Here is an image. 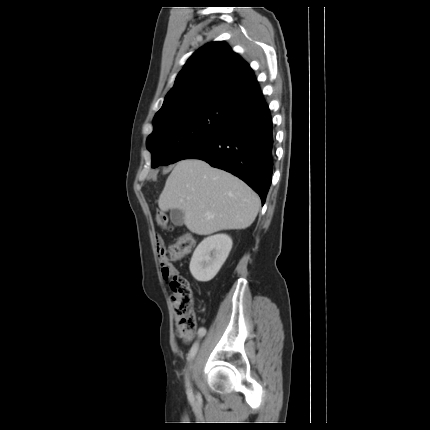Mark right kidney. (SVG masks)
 <instances>
[{"label": "right kidney", "instance_id": "1", "mask_svg": "<svg viewBox=\"0 0 430 430\" xmlns=\"http://www.w3.org/2000/svg\"><path fill=\"white\" fill-rule=\"evenodd\" d=\"M226 234L205 238L195 249L190 261V272L198 282H208L219 272L232 248Z\"/></svg>", "mask_w": 430, "mask_h": 430}]
</instances>
